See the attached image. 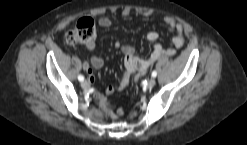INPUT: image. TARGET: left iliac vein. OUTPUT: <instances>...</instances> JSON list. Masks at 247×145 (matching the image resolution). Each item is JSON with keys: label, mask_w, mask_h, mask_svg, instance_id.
Here are the masks:
<instances>
[{"label": "left iliac vein", "mask_w": 247, "mask_h": 145, "mask_svg": "<svg viewBox=\"0 0 247 145\" xmlns=\"http://www.w3.org/2000/svg\"><path fill=\"white\" fill-rule=\"evenodd\" d=\"M155 84H156V80H155L154 78H151V79H149V80L147 81L146 87H147L148 89H151V88H153V87L155 86Z\"/></svg>", "instance_id": "obj_1"}]
</instances>
